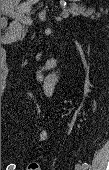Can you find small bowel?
<instances>
[{"label":"small bowel","instance_id":"obj_1","mask_svg":"<svg viewBox=\"0 0 109 170\" xmlns=\"http://www.w3.org/2000/svg\"><path fill=\"white\" fill-rule=\"evenodd\" d=\"M46 138V133L45 132H42L41 135H40V139L41 140H44Z\"/></svg>","mask_w":109,"mask_h":170}]
</instances>
